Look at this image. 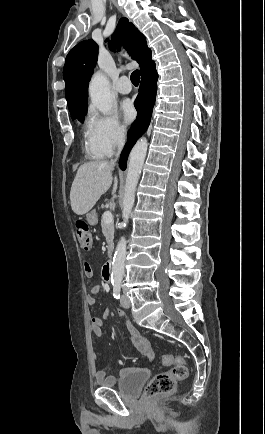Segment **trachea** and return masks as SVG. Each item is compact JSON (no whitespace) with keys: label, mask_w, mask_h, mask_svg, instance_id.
Masks as SVG:
<instances>
[{"label":"trachea","mask_w":265,"mask_h":434,"mask_svg":"<svg viewBox=\"0 0 265 434\" xmlns=\"http://www.w3.org/2000/svg\"><path fill=\"white\" fill-rule=\"evenodd\" d=\"M130 78H131V82H132L134 85H138V84H139V80H140V73H139V70H134V72H132Z\"/></svg>","instance_id":"obj_1"}]
</instances>
